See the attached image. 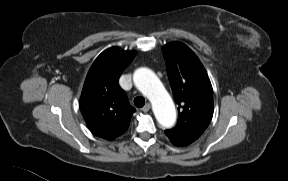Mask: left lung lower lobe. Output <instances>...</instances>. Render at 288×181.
I'll use <instances>...</instances> for the list:
<instances>
[{
	"instance_id": "1",
	"label": "left lung lower lobe",
	"mask_w": 288,
	"mask_h": 181,
	"mask_svg": "<svg viewBox=\"0 0 288 181\" xmlns=\"http://www.w3.org/2000/svg\"><path fill=\"white\" fill-rule=\"evenodd\" d=\"M165 134L175 146H186L197 140L200 135L198 134H179L166 130Z\"/></svg>"
}]
</instances>
